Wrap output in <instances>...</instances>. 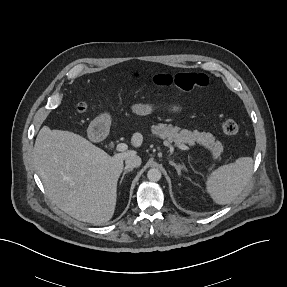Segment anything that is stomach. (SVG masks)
I'll return each mask as SVG.
<instances>
[{
  "label": "stomach",
  "mask_w": 287,
  "mask_h": 287,
  "mask_svg": "<svg viewBox=\"0 0 287 287\" xmlns=\"http://www.w3.org/2000/svg\"><path fill=\"white\" fill-rule=\"evenodd\" d=\"M111 125V116L108 112L99 114L90 125V128H98L102 131H108Z\"/></svg>",
  "instance_id": "obj_1"
}]
</instances>
